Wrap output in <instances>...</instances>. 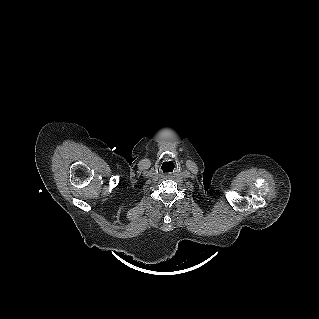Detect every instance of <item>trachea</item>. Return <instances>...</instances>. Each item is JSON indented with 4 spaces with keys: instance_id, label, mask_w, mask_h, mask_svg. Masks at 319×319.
Wrapping results in <instances>:
<instances>
[{
    "instance_id": "trachea-1",
    "label": "trachea",
    "mask_w": 319,
    "mask_h": 319,
    "mask_svg": "<svg viewBox=\"0 0 319 319\" xmlns=\"http://www.w3.org/2000/svg\"><path fill=\"white\" fill-rule=\"evenodd\" d=\"M164 164V163H163ZM163 167H161L163 169L164 172H171L174 169V165L172 162H168L165 163L164 165H162Z\"/></svg>"
}]
</instances>
